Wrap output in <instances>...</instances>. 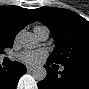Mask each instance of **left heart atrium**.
I'll use <instances>...</instances> for the list:
<instances>
[{
  "instance_id": "39dd6f15",
  "label": "left heart atrium",
  "mask_w": 89,
  "mask_h": 89,
  "mask_svg": "<svg viewBox=\"0 0 89 89\" xmlns=\"http://www.w3.org/2000/svg\"><path fill=\"white\" fill-rule=\"evenodd\" d=\"M19 58L28 65H37L43 58V54L40 52L25 51L19 55Z\"/></svg>"
}]
</instances>
